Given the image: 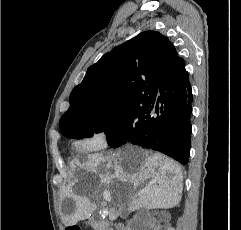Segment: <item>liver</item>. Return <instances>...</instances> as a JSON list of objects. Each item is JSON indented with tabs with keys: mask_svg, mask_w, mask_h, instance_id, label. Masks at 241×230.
I'll list each match as a JSON object with an SVG mask.
<instances>
[{
	"mask_svg": "<svg viewBox=\"0 0 241 230\" xmlns=\"http://www.w3.org/2000/svg\"><path fill=\"white\" fill-rule=\"evenodd\" d=\"M75 164L72 171L76 173V176L70 174L72 180L62 188V199L72 198L76 201V208L72 214H61L65 225H75L78 221L88 218L97 208L90 198L76 195L89 175L97 177L99 185L95 192L88 195L92 198L98 196L104 185L106 189L103 195L109 194L116 203H122L121 200L125 197L117 194L110 184L115 181L129 182L137 189L142 182L149 180L144 188L140 189L134 197L129 198L128 209L130 211L140 208L169 209L181 201L182 169L178 163L160 154L126 145L117 152L90 154L86 162L77 161Z\"/></svg>",
	"mask_w": 241,
	"mask_h": 230,
	"instance_id": "liver-1",
	"label": "liver"
}]
</instances>
